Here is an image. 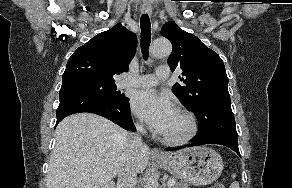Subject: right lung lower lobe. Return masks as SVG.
Here are the masks:
<instances>
[{"mask_svg": "<svg viewBox=\"0 0 292 188\" xmlns=\"http://www.w3.org/2000/svg\"><path fill=\"white\" fill-rule=\"evenodd\" d=\"M59 99L56 125L71 114L89 112L103 116L126 130L135 131L128 98L114 105L81 91H64L59 93Z\"/></svg>", "mask_w": 292, "mask_h": 188, "instance_id": "98d812e1", "label": "right lung lower lobe"}]
</instances>
